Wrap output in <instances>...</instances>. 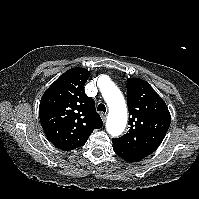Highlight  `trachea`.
I'll return each instance as SVG.
<instances>
[{"instance_id":"3493384b","label":"trachea","mask_w":199,"mask_h":199,"mask_svg":"<svg viewBox=\"0 0 199 199\" xmlns=\"http://www.w3.org/2000/svg\"><path fill=\"white\" fill-rule=\"evenodd\" d=\"M97 111H101V112H104L106 111V107L104 104H99L98 107H97Z\"/></svg>"}]
</instances>
